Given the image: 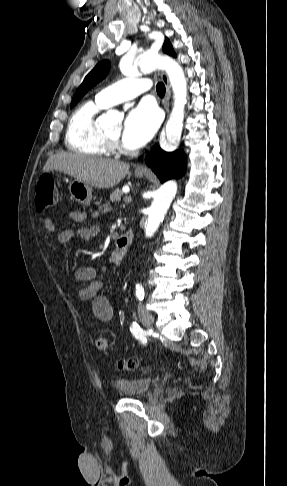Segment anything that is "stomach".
Returning <instances> with one entry per match:
<instances>
[{"mask_svg": "<svg viewBox=\"0 0 287 486\" xmlns=\"http://www.w3.org/2000/svg\"><path fill=\"white\" fill-rule=\"evenodd\" d=\"M144 173L135 172L136 177H143ZM71 197L80 204L88 205L92 199V187L82 181L75 179L69 185Z\"/></svg>", "mask_w": 287, "mask_h": 486, "instance_id": "0dacf381", "label": "stomach"}]
</instances>
